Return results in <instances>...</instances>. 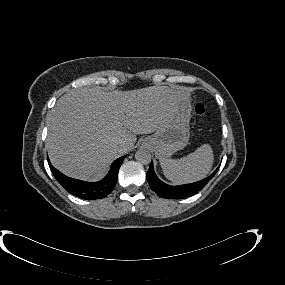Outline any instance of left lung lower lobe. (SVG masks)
Wrapping results in <instances>:
<instances>
[{
	"label": "left lung lower lobe",
	"instance_id": "obj_1",
	"mask_svg": "<svg viewBox=\"0 0 285 285\" xmlns=\"http://www.w3.org/2000/svg\"><path fill=\"white\" fill-rule=\"evenodd\" d=\"M217 170L218 168L212 175L201 181L186 185L170 186L158 179V177L154 173L153 164L151 163L149 170L146 174V178L151 189L156 192V194L160 197L168 199H181L192 196L198 191H200L209 182V180L212 179Z\"/></svg>",
	"mask_w": 285,
	"mask_h": 285
}]
</instances>
